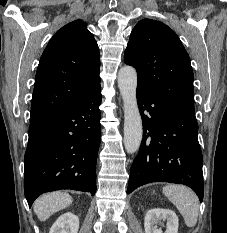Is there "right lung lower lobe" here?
Returning a JSON list of instances; mask_svg holds the SVG:
<instances>
[{"label": "right lung lower lobe", "instance_id": "98d812e1", "mask_svg": "<svg viewBox=\"0 0 227 233\" xmlns=\"http://www.w3.org/2000/svg\"><path fill=\"white\" fill-rule=\"evenodd\" d=\"M101 87L29 126L24 191L31 207L42 193L60 189L96 192L101 142Z\"/></svg>", "mask_w": 227, "mask_h": 233}]
</instances>
